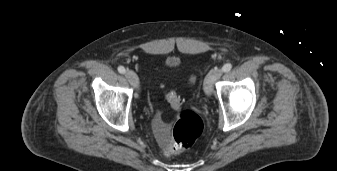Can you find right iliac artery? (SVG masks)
I'll return each instance as SVG.
<instances>
[{
	"instance_id": "obj_1",
	"label": "right iliac artery",
	"mask_w": 337,
	"mask_h": 171,
	"mask_svg": "<svg viewBox=\"0 0 337 171\" xmlns=\"http://www.w3.org/2000/svg\"><path fill=\"white\" fill-rule=\"evenodd\" d=\"M118 72L121 74H124L126 72L125 68L123 66L118 67Z\"/></svg>"
}]
</instances>
